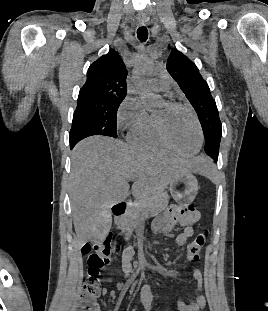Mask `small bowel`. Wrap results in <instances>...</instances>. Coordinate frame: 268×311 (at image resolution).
Segmentation results:
<instances>
[{
    "mask_svg": "<svg viewBox=\"0 0 268 311\" xmlns=\"http://www.w3.org/2000/svg\"><path fill=\"white\" fill-rule=\"evenodd\" d=\"M199 213L192 207L185 210L170 209L162 216L158 217L153 223L155 232L170 233L176 226H180L182 231L176 236V244L179 248H183L187 241L193 236V225L199 220ZM133 246H127L122 253V271L125 276L129 277L133 273L132 259L134 256ZM193 278L198 284L200 294L190 301L186 302L182 298L178 300L179 311H199L206 304V298L203 293V276L200 270H194ZM118 290L122 288L121 284H117ZM117 292H112L111 297L117 298ZM140 300L145 311H151L153 304V295L149 286L145 285L140 291Z\"/></svg>",
    "mask_w": 268,
    "mask_h": 311,
    "instance_id": "small-bowel-1",
    "label": "small bowel"
}]
</instances>
